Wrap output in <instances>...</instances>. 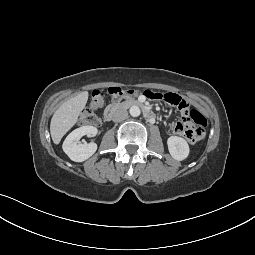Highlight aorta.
I'll use <instances>...</instances> for the list:
<instances>
[{
  "instance_id": "762f6f07",
  "label": "aorta",
  "mask_w": 255,
  "mask_h": 255,
  "mask_svg": "<svg viewBox=\"0 0 255 255\" xmlns=\"http://www.w3.org/2000/svg\"><path fill=\"white\" fill-rule=\"evenodd\" d=\"M129 112L132 117H138L141 113L140 108L135 105L130 108Z\"/></svg>"
}]
</instances>
